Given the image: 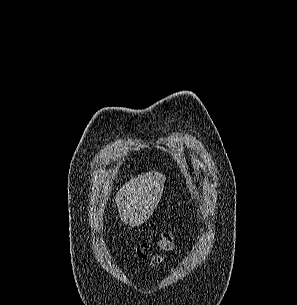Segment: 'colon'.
<instances>
[{
    "label": "colon",
    "instance_id": "obj_1",
    "mask_svg": "<svg viewBox=\"0 0 297 305\" xmlns=\"http://www.w3.org/2000/svg\"><path fill=\"white\" fill-rule=\"evenodd\" d=\"M137 251L143 253V254H147L148 251H149V245L144 242V243H141L138 247H137Z\"/></svg>",
    "mask_w": 297,
    "mask_h": 305
}]
</instances>
